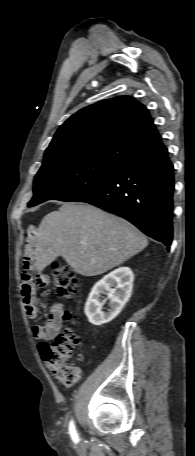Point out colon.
<instances>
[{
  "label": "colon",
  "mask_w": 195,
  "mask_h": 456,
  "mask_svg": "<svg viewBox=\"0 0 195 456\" xmlns=\"http://www.w3.org/2000/svg\"><path fill=\"white\" fill-rule=\"evenodd\" d=\"M52 275L54 287L64 300L77 294L79 278L71 267L55 262L52 264ZM61 315L66 321L73 318L71 310H64ZM77 344L75 330L66 328L52 342H41L38 346L47 368L65 386L74 385L80 378L79 369L69 363Z\"/></svg>",
  "instance_id": "colon-1"
}]
</instances>
